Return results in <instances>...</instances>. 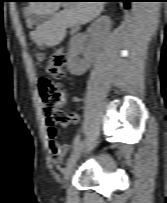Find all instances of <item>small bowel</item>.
I'll use <instances>...</instances> for the list:
<instances>
[{
  "instance_id": "1",
  "label": "small bowel",
  "mask_w": 167,
  "mask_h": 203,
  "mask_svg": "<svg viewBox=\"0 0 167 203\" xmlns=\"http://www.w3.org/2000/svg\"><path fill=\"white\" fill-rule=\"evenodd\" d=\"M79 122V117L78 115H73L72 116V123L73 124H78ZM48 137H49V148L51 150V153L53 155V158L61 162L66 155L70 151V146L67 144L60 145L56 140V130L55 128H52L51 126L48 125Z\"/></svg>"
}]
</instances>
